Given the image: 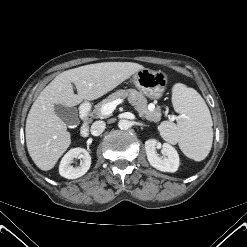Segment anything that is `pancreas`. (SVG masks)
I'll list each match as a JSON object with an SVG mask.
<instances>
[{
    "mask_svg": "<svg viewBox=\"0 0 247 247\" xmlns=\"http://www.w3.org/2000/svg\"><path fill=\"white\" fill-rule=\"evenodd\" d=\"M119 98H128L129 103L134 106L140 116L157 119L160 110L157 109L155 111H149L147 108V99L144 97L143 93L138 92L135 89L118 90L112 93L95 106L92 114H94L97 118H102L104 116L101 114L102 106Z\"/></svg>",
    "mask_w": 247,
    "mask_h": 247,
    "instance_id": "obj_1",
    "label": "pancreas"
}]
</instances>
